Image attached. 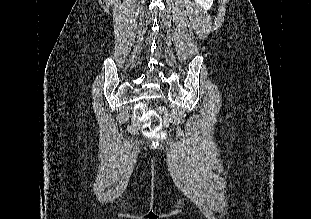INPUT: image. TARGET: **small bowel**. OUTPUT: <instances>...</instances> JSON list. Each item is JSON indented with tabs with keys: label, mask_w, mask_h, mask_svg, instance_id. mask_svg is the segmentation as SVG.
Segmentation results:
<instances>
[{
	"label": "small bowel",
	"mask_w": 311,
	"mask_h": 219,
	"mask_svg": "<svg viewBox=\"0 0 311 219\" xmlns=\"http://www.w3.org/2000/svg\"><path fill=\"white\" fill-rule=\"evenodd\" d=\"M132 130H136L138 128V121L134 120L131 126Z\"/></svg>",
	"instance_id": "1"
}]
</instances>
